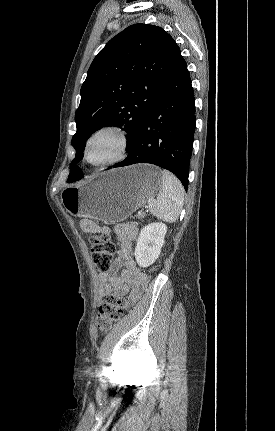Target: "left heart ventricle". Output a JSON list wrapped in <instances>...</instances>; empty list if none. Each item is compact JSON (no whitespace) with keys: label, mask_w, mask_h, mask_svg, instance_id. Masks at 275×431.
I'll return each mask as SVG.
<instances>
[{"label":"left heart ventricle","mask_w":275,"mask_h":431,"mask_svg":"<svg viewBox=\"0 0 275 431\" xmlns=\"http://www.w3.org/2000/svg\"><path fill=\"white\" fill-rule=\"evenodd\" d=\"M118 142L112 134H102L93 140L88 156L92 162H100L113 156L117 151Z\"/></svg>","instance_id":"left-heart-ventricle-1"}]
</instances>
